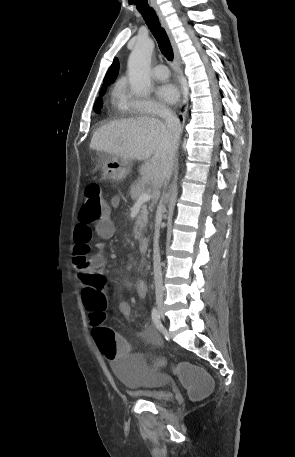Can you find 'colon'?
I'll use <instances>...</instances> for the list:
<instances>
[{
  "mask_svg": "<svg viewBox=\"0 0 295 457\" xmlns=\"http://www.w3.org/2000/svg\"><path fill=\"white\" fill-rule=\"evenodd\" d=\"M108 213L109 207L103 198L100 186L90 184L85 190L84 202L79 210L80 224L91 226ZM88 253V247H76L73 265L77 269L86 268ZM105 288V276L87 273V287L83 290V303L90 315L92 334L99 347L101 359L126 363L131 342L125 341V334L121 330H111L106 326L104 310L107 299L103 291ZM175 376L182 377V387L184 390H188L192 399H201L212 389L210 374H206V369H198L196 363H181L179 368L175 369Z\"/></svg>",
  "mask_w": 295,
  "mask_h": 457,
  "instance_id": "1",
  "label": "colon"
}]
</instances>
